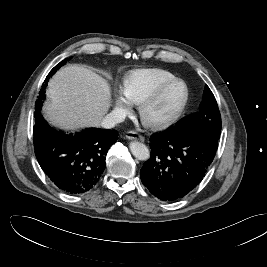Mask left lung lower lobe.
Returning <instances> with one entry per match:
<instances>
[{"label":"left lung lower lobe","instance_id":"0a47b994","mask_svg":"<svg viewBox=\"0 0 267 267\" xmlns=\"http://www.w3.org/2000/svg\"><path fill=\"white\" fill-rule=\"evenodd\" d=\"M151 154L140 171L142 183L164 201L184 197L203 179L218 140L197 127H179L150 138Z\"/></svg>","mask_w":267,"mask_h":267}]
</instances>
